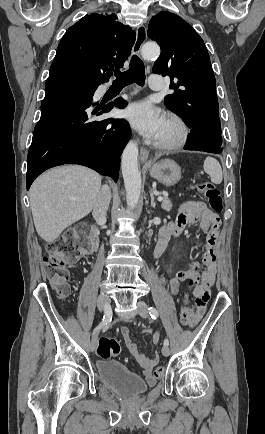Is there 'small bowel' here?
Returning <instances> with one entry per match:
<instances>
[{
  "mask_svg": "<svg viewBox=\"0 0 265 434\" xmlns=\"http://www.w3.org/2000/svg\"><path fill=\"white\" fill-rule=\"evenodd\" d=\"M189 224H199V227L208 234L207 251L204 255V265L206 267L202 275L201 268L197 264L189 266L187 269L178 270L174 277L169 281V291L171 295L177 296L180 289V284L185 279L200 280L199 285L194 289L193 295L196 298L195 305L187 307L190 316L193 320L192 325H197L204 316L209 300L210 288L215 280V246L220 227L219 216L210 210L202 201H189L181 205L176 218L164 225L159 232V239L165 241L166 246L169 240L179 237ZM198 267V268H197ZM196 268V270H194ZM193 274V275H192ZM120 334L127 349L136 355L144 368V376L147 383L152 386L156 380L152 374V368L157 361V355L152 358L146 357L138 353L137 344L131 339L127 326L120 328ZM159 342V333L156 332L151 340L153 345Z\"/></svg>",
  "mask_w": 265,
  "mask_h": 434,
  "instance_id": "c3829d8e",
  "label": "small bowel"
}]
</instances>
